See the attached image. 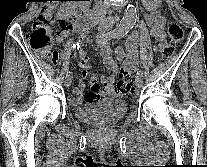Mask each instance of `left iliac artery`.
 <instances>
[{
    "label": "left iliac artery",
    "mask_w": 207,
    "mask_h": 167,
    "mask_svg": "<svg viewBox=\"0 0 207 167\" xmlns=\"http://www.w3.org/2000/svg\"><path fill=\"white\" fill-rule=\"evenodd\" d=\"M123 36H124V34H122V33H118V34H116L113 38H114V39H120V38L123 37ZM137 75H139V76H143V72L140 70V71L137 72Z\"/></svg>",
    "instance_id": "1"
}]
</instances>
